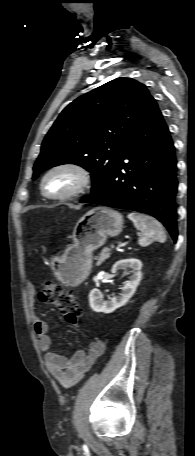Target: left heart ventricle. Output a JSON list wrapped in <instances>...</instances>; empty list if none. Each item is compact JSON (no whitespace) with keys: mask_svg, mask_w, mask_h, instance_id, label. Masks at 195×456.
I'll list each match as a JSON object with an SVG mask.
<instances>
[{"mask_svg":"<svg viewBox=\"0 0 195 456\" xmlns=\"http://www.w3.org/2000/svg\"><path fill=\"white\" fill-rule=\"evenodd\" d=\"M78 183V176L69 170L52 173L46 180L45 187L49 194L62 195L71 191Z\"/></svg>","mask_w":195,"mask_h":456,"instance_id":"1","label":"left heart ventricle"}]
</instances>
